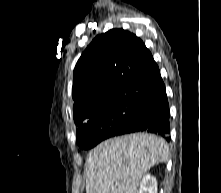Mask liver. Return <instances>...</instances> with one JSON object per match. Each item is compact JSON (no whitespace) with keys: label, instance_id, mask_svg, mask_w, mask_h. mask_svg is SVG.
<instances>
[{"label":"liver","instance_id":"obj_1","mask_svg":"<svg viewBox=\"0 0 221 193\" xmlns=\"http://www.w3.org/2000/svg\"><path fill=\"white\" fill-rule=\"evenodd\" d=\"M168 145L153 134L108 139L89 152L86 193H137L142 176L168 161Z\"/></svg>","mask_w":221,"mask_h":193}]
</instances>
